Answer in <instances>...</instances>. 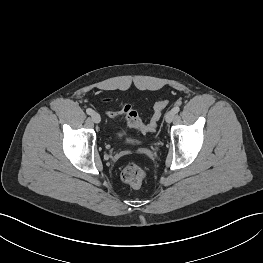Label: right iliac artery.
Returning a JSON list of instances; mask_svg holds the SVG:
<instances>
[{
  "label": "right iliac artery",
  "instance_id": "obj_1",
  "mask_svg": "<svg viewBox=\"0 0 263 263\" xmlns=\"http://www.w3.org/2000/svg\"><path fill=\"white\" fill-rule=\"evenodd\" d=\"M86 112H87L88 115H91V114L93 113V110H92L91 108H88V109L86 110Z\"/></svg>",
  "mask_w": 263,
  "mask_h": 263
}]
</instances>
